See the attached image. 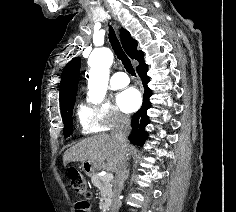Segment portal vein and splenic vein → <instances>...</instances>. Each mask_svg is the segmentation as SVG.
Wrapping results in <instances>:
<instances>
[{"label":"portal vein and splenic vein","instance_id":"18ae733b","mask_svg":"<svg viewBox=\"0 0 236 212\" xmlns=\"http://www.w3.org/2000/svg\"><path fill=\"white\" fill-rule=\"evenodd\" d=\"M104 177H105L106 180L110 181V180L113 179V174L112 173H107Z\"/></svg>","mask_w":236,"mask_h":212}]
</instances>
